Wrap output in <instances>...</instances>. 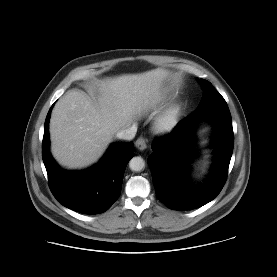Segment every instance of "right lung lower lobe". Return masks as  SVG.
Here are the masks:
<instances>
[{
    "instance_id": "1",
    "label": "right lung lower lobe",
    "mask_w": 277,
    "mask_h": 277,
    "mask_svg": "<svg viewBox=\"0 0 277 277\" xmlns=\"http://www.w3.org/2000/svg\"><path fill=\"white\" fill-rule=\"evenodd\" d=\"M50 113L51 109L44 125L42 158L54 197L60 204L76 212L83 214L105 212L120 195L124 171L134 156L133 143L112 144L103 158L89 169L63 170L49 152Z\"/></svg>"
}]
</instances>
